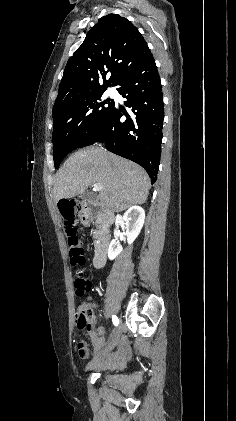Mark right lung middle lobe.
Listing matches in <instances>:
<instances>
[{
	"label": "right lung middle lobe",
	"mask_w": 236,
	"mask_h": 421,
	"mask_svg": "<svg viewBox=\"0 0 236 421\" xmlns=\"http://www.w3.org/2000/svg\"><path fill=\"white\" fill-rule=\"evenodd\" d=\"M104 91L72 99L53 110L55 168L59 167L68 153L79 148L98 130L114 107V100H102Z\"/></svg>",
	"instance_id": "1"
}]
</instances>
